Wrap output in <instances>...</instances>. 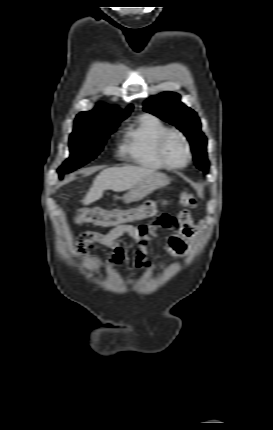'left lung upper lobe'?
I'll use <instances>...</instances> for the list:
<instances>
[{
  "label": "left lung upper lobe",
  "mask_w": 273,
  "mask_h": 430,
  "mask_svg": "<svg viewBox=\"0 0 273 430\" xmlns=\"http://www.w3.org/2000/svg\"><path fill=\"white\" fill-rule=\"evenodd\" d=\"M144 110L180 129L190 141L196 166L205 173L208 172L206 138L201 131L200 120L196 112L180 101L179 94L164 92L152 96L146 100Z\"/></svg>",
  "instance_id": "left-lung-upper-lobe-1"
}]
</instances>
